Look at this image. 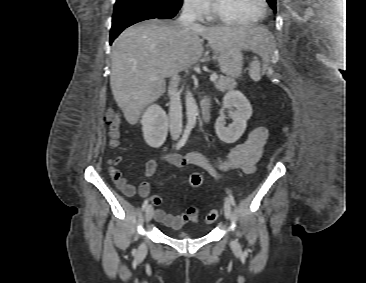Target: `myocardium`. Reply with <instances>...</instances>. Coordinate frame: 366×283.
Instances as JSON below:
<instances>
[{
	"label": "myocardium",
	"mask_w": 366,
	"mask_h": 283,
	"mask_svg": "<svg viewBox=\"0 0 366 283\" xmlns=\"http://www.w3.org/2000/svg\"><path fill=\"white\" fill-rule=\"evenodd\" d=\"M212 6H213V13L215 15L216 18L227 22V23H231V24H235V25H242V26H246V25H253L258 23L259 21L263 20L267 13H268V3L267 0H261L262 3V13L256 17L253 20L250 21H243V20H239L233 16H231L229 13H227L218 3V0H212Z\"/></svg>",
	"instance_id": "obj_1"
}]
</instances>
